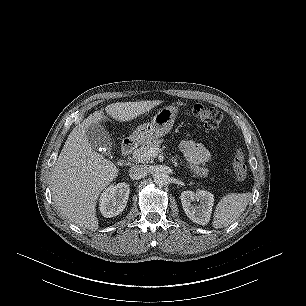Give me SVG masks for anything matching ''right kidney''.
Segmentation results:
<instances>
[{
    "label": "right kidney",
    "mask_w": 306,
    "mask_h": 306,
    "mask_svg": "<svg viewBox=\"0 0 306 306\" xmlns=\"http://www.w3.org/2000/svg\"><path fill=\"white\" fill-rule=\"evenodd\" d=\"M130 188L126 183H118L105 188L100 197L99 209L106 218L119 215L126 207Z\"/></svg>",
    "instance_id": "obj_1"
}]
</instances>
